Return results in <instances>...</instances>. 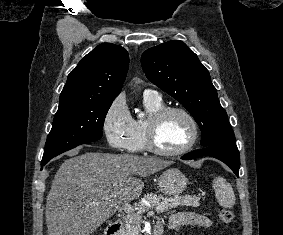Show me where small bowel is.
Here are the masks:
<instances>
[{
	"instance_id": "c3829d8e",
	"label": "small bowel",
	"mask_w": 283,
	"mask_h": 235,
	"mask_svg": "<svg viewBox=\"0 0 283 235\" xmlns=\"http://www.w3.org/2000/svg\"><path fill=\"white\" fill-rule=\"evenodd\" d=\"M190 225L210 227L213 225V222L206 215L195 213V212H177V213H174L168 221V227L175 231H178L181 228H184ZM162 228H163V225H162Z\"/></svg>"
}]
</instances>
